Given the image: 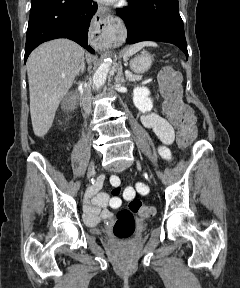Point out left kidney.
<instances>
[{
  "label": "left kidney",
  "instance_id": "left-kidney-1",
  "mask_svg": "<svg viewBox=\"0 0 240 288\" xmlns=\"http://www.w3.org/2000/svg\"><path fill=\"white\" fill-rule=\"evenodd\" d=\"M150 91L147 87H135L133 89V103L142 113L150 112L153 108V101L149 97Z\"/></svg>",
  "mask_w": 240,
  "mask_h": 288
}]
</instances>
